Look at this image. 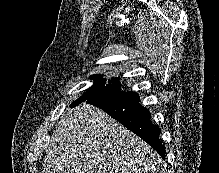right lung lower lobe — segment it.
Segmentation results:
<instances>
[{"label":"right lung lower lobe","mask_w":219,"mask_h":173,"mask_svg":"<svg viewBox=\"0 0 219 173\" xmlns=\"http://www.w3.org/2000/svg\"><path fill=\"white\" fill-rule=\"evenodd\" d=\"M118 120L126 128L146 141L159 155L165 157V147L159 140L161 129L153 125L146 107L139 105V95L133 91H119L110 95H97L87 99Z\"/></svg>","instance_id":"obj_1"}]
</instances>
